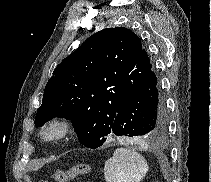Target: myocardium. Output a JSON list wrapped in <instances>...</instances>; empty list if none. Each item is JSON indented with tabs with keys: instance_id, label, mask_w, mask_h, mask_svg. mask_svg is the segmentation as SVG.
<instances>
[{
	"instance_id": "myocardium-1",
	"label": "myocardium",
	"mask_w": 211,
	"mask_h": 182,
	"mask_svg": "<svg viewBox=\"0 0 211 182\" xmlns=\"http://www.w3.org/2000/svg\"><path fill=\"white\" fill-rule=\"evenodd\" d=\"M73 130V123L68 118L55 117L47 121L39 130L43 142H55L68 136Z\"/></svg>"
}]
</instances>
